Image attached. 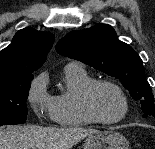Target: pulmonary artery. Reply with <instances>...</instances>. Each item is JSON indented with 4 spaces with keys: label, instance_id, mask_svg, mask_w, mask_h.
Wrapping results in <instances>:
<instances>
[{
    "label": "pulmonary artery",
    "instance_id": "pulmonary-artery-1",
    "mask_svg": "<svg viewBox=\"0 0 155 149\" xmlns=\"http://www.w3.org/2000/svg\"><path fill=\"white\" fill-rule=\"evenodd\" d=\"M73 64H78V63H70V64H68V65H73Z\"/></svg>",
    "mask_w": 155,
    "mask_h": 149
}]
</instances>
